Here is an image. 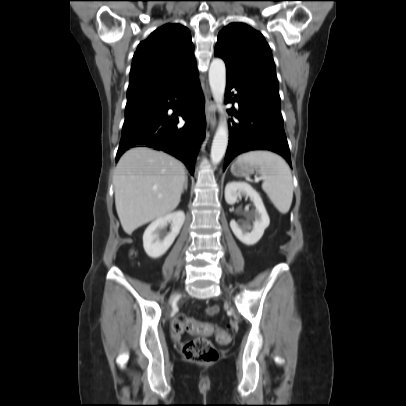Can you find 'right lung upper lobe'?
Segmentation results:
<instances>
[{"instance_id": "1", "label": "right lung upper lobe", "mask_w": 406, "mask_h": 406, "mask_svg": "<svg viewBox=\"0 0 406 406\" xmlns=\"http://www.w3.org/2000/svg\"><path fill=\"white\" fill-rule=\"evenodd\" d=\"M198 75L188 29L165 24L142 41L133 56L127 105L157 99Z\"/></svg>"}]
</instances>
